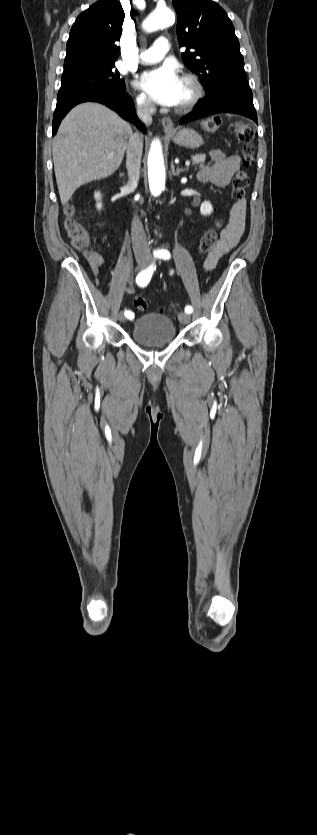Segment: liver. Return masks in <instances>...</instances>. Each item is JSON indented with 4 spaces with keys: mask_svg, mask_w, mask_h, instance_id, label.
<instances>
[{
    "mask_svg": "<svg viewBox=\"0 0 317 835\" xmlns=\"http://www.w3.org/2000/svg\"><path fill=\"white\" fill-rule=\"evenodd\" d=\"M131 126L98 103H82L63 119L52 145L61 203L81 185L112 175L120 166Z\"/></svg>",
    "mask_w": 317,
    "mask_h": 835,
    "instance_id": "liver-1",
    "label": "liver"
}]
</instances>
